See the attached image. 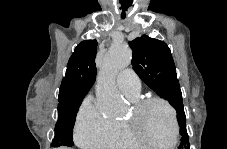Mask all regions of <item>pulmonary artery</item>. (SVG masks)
Listing matches in <instances>:
<instances>
[{
	"label": "pulmonary artery",
	"mask_w": 227,
	"mask_h": 149,
	"mask_svg": "<svg viewBox=\"0 0 227 149\" xmlns=\"http://www.w3.org/2000/svg\"><path fill=\"white\" fill-rule=\"evenodd\" d=\"M117 86L127 97H138L141 90L140 79L131 69H125L117 75Z\"/></svg>",
	"instance_id": "obj_1"
}]
</instances>
